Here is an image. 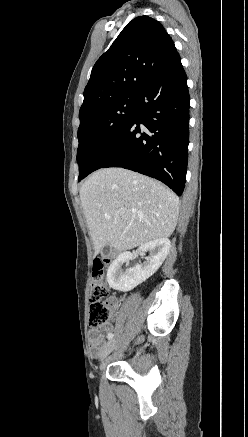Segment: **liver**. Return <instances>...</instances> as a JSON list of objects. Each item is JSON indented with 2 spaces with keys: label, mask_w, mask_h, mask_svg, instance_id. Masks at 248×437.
I'll return each instance as SVG.
<instances>
[{
  "label": "liver",
  "mask_w": 248,
  "mask_h": 437,
  "mask_svg": "<svg viewBox=\"0 0 248 437\" xmlns=\"http://www.w3.org/2000/svg\"><path fill=\"white\" fill-rule=\"evenodd\" d=\"M80 200L95 255L106 245L121 252L168 238L180 206L179 198L160 182L122 168L93 173L80 188Z\"/></svg>",
  "instance_id": "6515ba94"
}]
</instances>
